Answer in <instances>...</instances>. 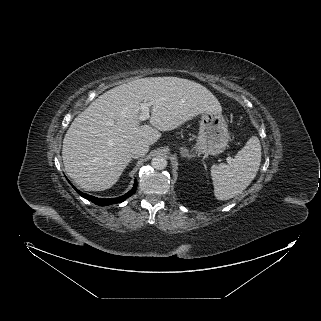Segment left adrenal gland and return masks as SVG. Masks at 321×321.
<instances>
[{"instance_id":"left-adrenal-gland-1","label":"left adrenal gland","mask_w":321,"mask_h":321,"mask_svg":"<svg viewBox=\"0 0 321 321\" xmlns=\"http://www.w3.org/2000/svg\"><path fill=\"white\" fill-rule=\"evenodd\" d=\"M181 155L183 157L192 158L194 155L190 154L186 148H181Z\"/></svg>"}]
</instances>
